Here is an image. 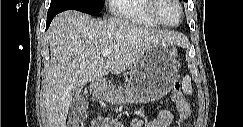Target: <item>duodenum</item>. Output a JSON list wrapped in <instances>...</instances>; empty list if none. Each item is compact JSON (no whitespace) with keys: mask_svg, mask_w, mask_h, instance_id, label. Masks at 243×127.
<instances>
[{"mask_svg":"<svg viewBox=\"0 0 243 127\" xmlns=\"http://www.w3.org/2000/svg\"><path fill=\"white\" fill-rule=\"evenodd\" d=\"M105 83L103 77H100L97 84L95 85L96 88H101V86Z\"/></svg>","mask_w":243,"mask_h":127,"instance_id":"410a0bca","label":"duodenum"}]
</instances>
